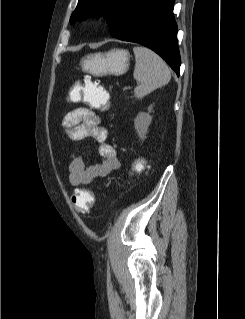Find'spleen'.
<instances>
[{
  "mask_svg": "<svg viewBox=\"0 0 245 319\" xmlns=\"http://www.w3.org/2000/svg\"><path fill=\"white\" fill-rule=\"evenodd\" d=\"M135 69L133 77L139 85L134 95L141 99L152 91L165 86L171 79V71L165 61L154 51L143 46L133 48Z\"/></svg>",
  "mask_w": 245,
  "mask_h": 319,
  "instance_id": "1",
  "label": "spleen"
}]
</instances>
